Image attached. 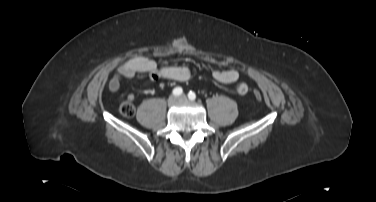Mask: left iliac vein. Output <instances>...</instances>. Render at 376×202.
Instances as JSON below:
<instances>
[{"label":"left iliac vein","instance_id":"left-iliac-vein-1","mask_svg":"<svg viewBox=\"0 0 376 202\" xmlns=\"http://www.w3.org/2000/svg\"><path fill=\"white\" fill-rule=\"evenodd\" d=\"M187 99V97L185 96V95H180L179 97H178V100H180V101H184V100H186Z\"/></svg>","mask_w":376,"mask_h":202}]
</instances>
